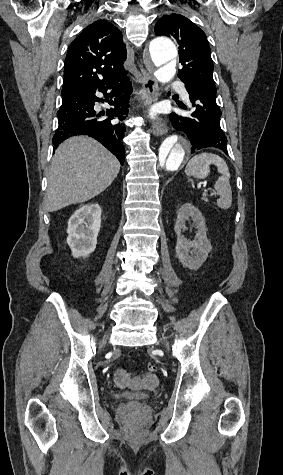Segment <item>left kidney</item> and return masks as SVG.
I'll return each mask as SVG.
<instances>
[{"instance_id": "1", "label": "left kidney", "mask_w": 283, "mask_h": 475, "mask_svg": "<svg viewBox=\"0 0 283 475\" xmlns=\"http://www.w3.org/2000/svg\"><path fill=\"white\" fill-rule=\"evenodd\" d=\"M189 218H192L193 224H195L198 230L193 241L184 238L181 234L182 230H187L185 222ZM174 230L177 234L176 257L180 259L184 267L199 269L212 249L211 241L206 236L205 218H203L200 210L194 208L192 204H183L179 208Z\"/></svg>"}]
</instances>
